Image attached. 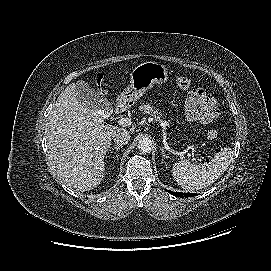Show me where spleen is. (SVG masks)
<instances>
[{"instance_id":"obj_1","label":"spleen","mask_w":271,"mask_h":271,"mask_svg":"<svg viewBox=\"0 0 271 271\" xmlns=\"http://www.w3.org/2000/svg\"><path fill=\"white\" fill-rule=\"evenodd\" d=\"M233 151L229 147L222 148L215 158L208 163L191 164L187 160L176 162L172 173L175 181L183 189L193 191L203 189L219 179L229 167Z\"/></svg>"}]
</instances>
